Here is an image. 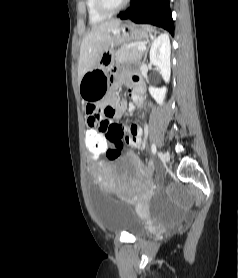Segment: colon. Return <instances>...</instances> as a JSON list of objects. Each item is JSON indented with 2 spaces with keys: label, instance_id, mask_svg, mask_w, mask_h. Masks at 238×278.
<instances>
[{
  "label": "colon",
  "instance_id": "1",
  "mask_svg": "<svg viewBox=\"0 0 238 278\" xmlns=\"http://www.w3.org/2000/svg\"><path fill=\"white\" fill-rule=\"evenodd\" d=\"M84 135L88 155L86 162H99L105 154L108 160H114L123 152L124 144L119 137H112L114 144H107L105 137H99L97 130H84Z\"/></svg>",
  "mask_w": 238,
  "mask_h": 278
}]
</instances>
